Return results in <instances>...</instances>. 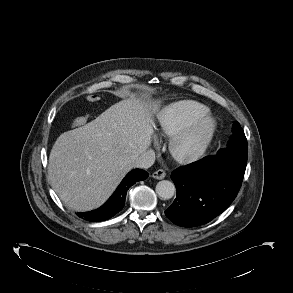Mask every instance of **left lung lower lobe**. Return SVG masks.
<instances>
[{"label":"left lung lower lobe","mask_w":293,"mask_h":293,"mask_svg":"<svg viewBox=\"0 0 293 293\" xmlns=\"http://www.w3.org/2000/svg\"><path fill=\"white\" fill-rule=\"evenodd\" d=\"M247 155L246 142L174 170L177 197L166 216L176 225L195 227L221 214L241 187Z\"/></svg>","instance_id":"obj_1"}]
</instances>
